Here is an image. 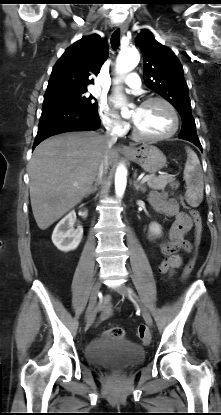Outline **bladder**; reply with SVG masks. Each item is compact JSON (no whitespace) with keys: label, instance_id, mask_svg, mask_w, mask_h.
Instances as JSON below:
<instances>
[{"label":"bladder","instance_id":"bladder-1","mask_svg":"<svg viewBox=\"0 0 221 415\" xmlns=\"http://www.w3.org/2000/svg\"><path fill=\"white\" fill-rule=\"evenodd\" d=\"M85 356L94 366L125 368L142 362L145 358V350L132 341L103 336L87 345Z\"/></svg>","mask_w":221,"mask_h":415}]
</instances>
